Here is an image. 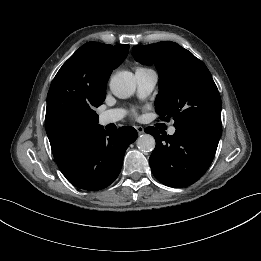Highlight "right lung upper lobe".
<instances>
[{
  "mask_svg": "<svg viewBox=\"0 0 261 261\" xmlns=\"http://www.w3.org/2000/svg\"><path fill=\"white\" fill-rule=\"evenodd\" d=\"M129 47L88 42L56 74L47 95L45 128L58 167L102 127L94 108L105 100L107 81Z\"/></svg>",
  "mask_w": 261,
  "mask_h": 261,
  "instance_id": "1",
  "label": "right lung upper lobe"
}]
</instances>
